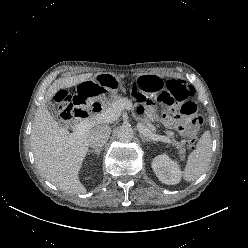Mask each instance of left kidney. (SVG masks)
<instances>
[{
    "label": "left kidney",
    "mask_w": 248,
    "mask_h": 248,
    "mask_svg": "<svg viewBox=\"0 0 248 248\" xmlns=\"http://www.w3.org/2000/svg\"><path fill=\"white\" fill-rule=\"evenodd\" d=\"M152 169L162 183L175 185L180 182L182 172L178 163L165 154L153 159Z\"/></svg>",
    "instance_id": "5707ae66"
}]
</instances>
